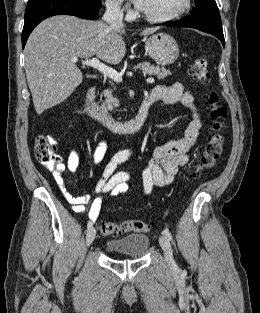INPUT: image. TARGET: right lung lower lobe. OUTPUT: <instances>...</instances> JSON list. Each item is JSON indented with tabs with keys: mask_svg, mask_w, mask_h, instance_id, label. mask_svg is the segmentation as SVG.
I'll return each mask as SVG.
<instances>
[{
	"mask_svg": "<svg viewBox=\"0 0 260 313\" xmlns=\"http://www.w3.org/2000/svg\"><path fill=\"white\" fill-rule=\"evenodd\" d=\"M101 6V1L92 0H29L22 31V46H25L28 36L42 20L62 14L95 20L99 17Z\"/></svg>",
	"mask_w": 260,
	"mask_h": 313,
	"instance_id": "1",
	"label": "right lung lower lobe"
}]
</instances>
